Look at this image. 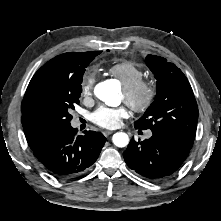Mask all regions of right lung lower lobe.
<instances>
[{
  "instance_id": "1",
  "label": "right lung lower lobe",
  "mask_w": 221,
  "mask_h": 221,
  "mask_svg": "<svg viewBox=\"0 0 221 221\" xmlns=\"http://www.w3.org/2000/svg\"><path fill=\"white\" fill-rule=\"evenodd\" d=\"M106 138L100 132L84 131L77 136L71 125L59 128L31 148L42 167L60 179L85 172L98 158Z\"/></svg>"
}]
</instances>
